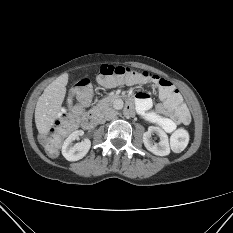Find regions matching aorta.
Wrapping results in <instances>:
<instances>
[{
    "label": "aorta",
    "instance_id": "1",
    "mask_svg": "<svg viewBox=\"0 0 233 233\" xmlns=\"http://www.w3.org/2000/svg\"><path fill=\"white\" fill-rule=\"evenodd\" d=\"M123 101L121 99H118V100H115L114 101V108L117 109V110H120L123 108Z\"/></svg>",
    "mask_w": 233,
    "mask_h": 233
}]
</instances>
